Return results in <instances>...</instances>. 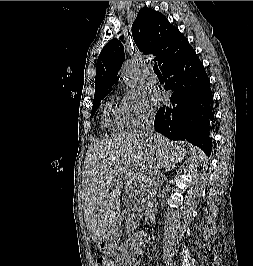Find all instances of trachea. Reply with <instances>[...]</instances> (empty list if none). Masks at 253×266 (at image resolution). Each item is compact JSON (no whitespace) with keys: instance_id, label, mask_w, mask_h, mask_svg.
<instances>
[{"instance_id":"trachea-1","label":"trachea","mask_w":253,"mask_h":266,"mask_svg":"<svg viewBox=\"0 0 253 266\" xmlns=\"http://www.w3.org/2000/svg\"><path fill=\"white\" fill-rule=\"evenodd\" d=\"M153 70H154V72H155L156 74H161V73H160V70H159V68H158L157 63L154 64V66H153Z\"/></svg>"}]
</instances>
